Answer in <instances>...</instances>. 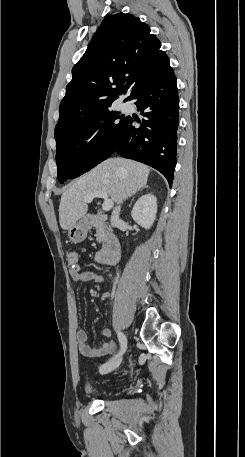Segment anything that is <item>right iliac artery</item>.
Returning <instances> with one entry per match:
<instances>
[{
	"label": "right iliac artery",
	"mask_w": 245,
	"mask_h": 457,
	"mask_svg": "<svg viewBox=\"0 0 245 457\" xmlns=\"http://www.w3.org/2000/svg\"><path fill=\"white\" fill-rule=\"evenodd\" d=\"M118 340L121 345V350H120L119 354L115 355V357L122 355L127 349V339H126V336L124 335V333L118 332Z\"/></svg>",
	"instance_id": "obj_1"
}]
</instances>
